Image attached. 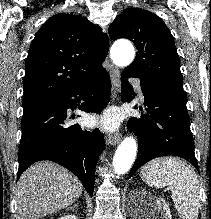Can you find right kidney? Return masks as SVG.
<instances>
[{
    "label": "right kidney",
    "mask_w": 211,
    "mask_h": 219,
    "mask_svg": "<svg viewBox=\"0 0 211 219\" xmlns=\"http://www.w3.org/2000/svg\"><path fill=\"white\" fill-rule=\"evenodd\" d=\"M59 219H78L75 215H65L60 217Z\"/></svg>",
    "instance_id": "obj_1"
}]
</instances>
